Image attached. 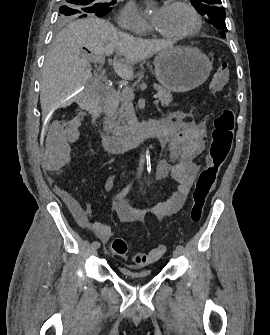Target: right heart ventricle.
Segmentation results:
<instances>
[{
  "mask_svg": "<svg viewBox=\"0 0 270 335\" xmlns=\"http://www.w3.org/2000/svg\"><path fill=\"white\" fill-rule=\"evenodd\" d=\"M159 78H173V77H159Z\"/></svg>",
  "mask_w": 270,
  "mask_h": 335,
  "instance_id": "right-heart-ventricle-1",
  "label": "right heart ventricle"
}]
</instances>
